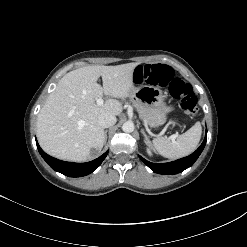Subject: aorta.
Wrapping results in <instances>:
<instances>
[{
  "instance_id": "1",
  "label": "aorta",
  "mask_w": 247,
  "mask_h": 247,
  "mask_svg": "<svg viewBox=\"0 0 247 247\" xmlns=\"http://www.w3.org/2000/svg\"><path fill=\"white\" fill-rule=\"evenodd\" d=\"M122 130L127 133H131L134 131V124L131 121H127L122 125Z\"/></svg>"
}]
</instances>
